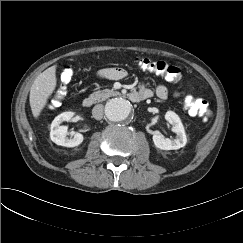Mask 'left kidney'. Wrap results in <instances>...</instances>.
<instances>
[{"label":"left kidney","instance_id":"1","mask_svg":"<svg viewBox=\"0 0 243 243\" xmlns=\"http://www.w3.org/2000/svg\"><path fill=\"white\" fill-rule=\"evenodd\" d=\"M165 119L172 125L171 130L176 133V138H164L160 133L155 132L152 137L155 146L162 150H177L184 147L187 143V137L179 116L173 111H168L165 114Z\"/></svg>","mask_w":243,"mask_h":243}]
</instances>
